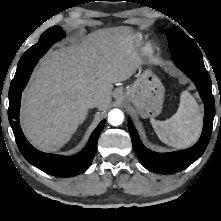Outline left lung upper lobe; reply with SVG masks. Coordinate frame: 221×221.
Instances as JSON below:
<instances>
[{
	"label": "left lung upper lobe",
	"instance_id": "obj_1",
	"mask_svg": "<svg viewBox=\"0 0 221 221\" xmlns=\"http://www.w3.org/2000/svg\"><path fill=\"white\" fill-rule=\"evenodd\" d=\"M162 32L167 35L173 60H182L204 66L202 53L197 44L179 27H174L169 31L162 30Z\"/></svg>",
	"mask_w": 221,
	"mask_h": 221
}]
</instances>
